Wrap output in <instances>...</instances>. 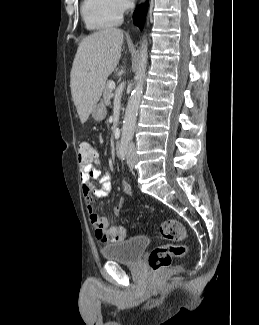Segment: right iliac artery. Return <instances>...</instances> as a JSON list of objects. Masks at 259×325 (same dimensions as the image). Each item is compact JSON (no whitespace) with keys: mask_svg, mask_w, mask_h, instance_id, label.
Listing matches in <instances>:
<instances>
[{"mask_svg":"<svg viewBox=\"0 0 259 325\" xmlns=\"http://www.w3.org/2000/svg\"><path fill=\"white\" fill-rule=\"evenodd\" d=\"M127 148H128V143H127V142H124L123 147H122V149H121V151H120V153H119V156H120V158H121L122 160H124L125 157H126V154H127Z\"/></svg>","mask_w":259,"mask_h":325,"instance_id":"1","label":"right iliac artery"}]
</instances>
